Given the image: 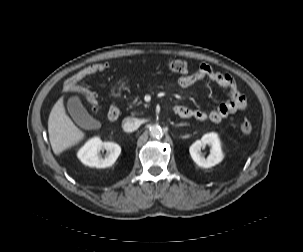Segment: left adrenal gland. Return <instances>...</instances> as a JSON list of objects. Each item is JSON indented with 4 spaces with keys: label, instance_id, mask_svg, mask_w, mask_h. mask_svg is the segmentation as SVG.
Segmentation results:
<instances>
[{
    "label": "left adrenal gland",
    "instance_id": "obj_1",
    "mask_svg": "<svg viewBox=\"0 0 303 252\" xmlns=\"http://www.w3.org/2000/svg\"><path fill=\"white\" fill-rule=\"evenodd\" d=\"M187 124L186 123H180L178 125H176V127H181V126H186Z\"/></svg>",
    "mask_w": 303,
    "mask_h": 252
}]
</instances>
